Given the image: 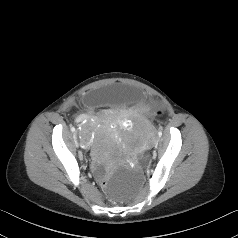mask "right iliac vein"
<instances>
[{
	"label": "right iliac vein",
	"mask_w": 238,
	"mask_h": 238,
	"mask_svg": "<svg viewBox=\"0 0 238 238\" xmlns=\"http://www.w3.org/2000/svg\"><path fill=\"white\" fill-rule=\"evenodd\" d=\"M75 135H73V139H74V145L76 146V149H79L78 143H77V136H76V132L74 133Z\"/></svg>",
	"instance_id": "right-iliac-vein-1"
}]
</instances>
